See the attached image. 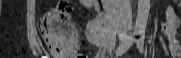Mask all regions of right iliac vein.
I'll return each mask as SVG.
<instances>
[{"label":"right iliac vein","instance_id":"1","mask_svg":"<svg viewBox=\"0 0 181 58\" xmlns=\"http://www.w3.org/2000/svg\"><path fill=\"white\" fill-rule=\"evenodd\" d=\"M120 42H121V44L125 42V37L124 36L120 37Z\"/></svg>","mask_w":181,"mask_h":58}]
</instances>
